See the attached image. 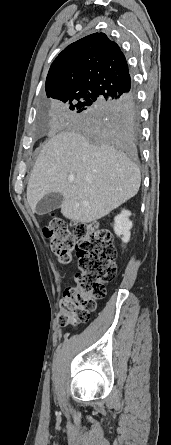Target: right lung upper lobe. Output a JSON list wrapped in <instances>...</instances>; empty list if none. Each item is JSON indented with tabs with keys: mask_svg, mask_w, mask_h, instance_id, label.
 Instances as JSON below:
<instances>
[{
	"mask_svg": "<svg viewBox=\"0 0 171 445\" xmlns=\"http://www.w3.org/2000/svg\"><path fill=\"white\" fill-rule=\"evenodd\" d=\"M82 91L115 99L133 94L125 56L104 33H94L70 44L49 69L46 78L48 98Z\"/></svg>",
	"mask_w": 171,
	"mask_h": 445,
	"instance_id": "cb5924a9",
	"label": "right lung upper lobe"
}]
</instances>
